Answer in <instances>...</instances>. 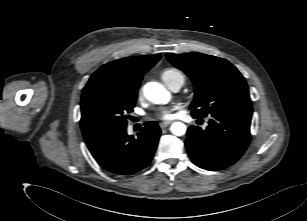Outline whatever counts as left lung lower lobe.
Wrapping results in <instances>:
<instances>
[{"instance_id": "1", "label": "left lung lower lobe", "mask_w": 307, "mask_h": 221, "mask_svg": "<svg viewBox=\"0 0 307 221\" xmlns=\"http://www.w3.org/2000/svg\"><path fill=\"white\" fill-rule=\"evenodd\" d=\"M250 123L249 115L220 113L210 116L205 130L189 127L185 146L191 160L209 171L233 165L249 145Z\"/></svg>"}]
</instances>
